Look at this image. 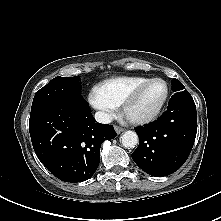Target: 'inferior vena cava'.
<instances>
[{"label": "inferior vena cava", "mask_w": 221, "mask_h": 221, "mask_svg": "<svg viewBox=\"0 0 221 221\" xmlns=\"http://www.w3.org/2000/svg\"><path fill=\"white\" fill-rule=\"evenodd\" d=\"M95 119L97 122L102 123V124H109L112 122V117L108 113L98 111L94 115Z\"/></svg>", "instance_id": "1"}]
</instances>
